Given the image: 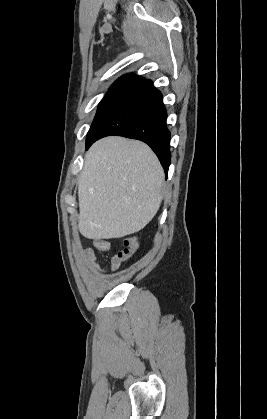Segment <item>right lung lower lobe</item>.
<instances>
[{
  "label": "right lung lower lobe",
  "mask_w": 267,
  "mask_h": 419,
  "mask_svg": "<svg viewBox=\"0 0 267 419\" xmlns=\"http://www.w3.org/2000/svg\"><path fill=\"white\" fill-rule=\"evenodd\" d=\"M166 119L162 94L148 80L128 93L106 114L86 149L98 139L110 135L141 140L155 152L167 174L171 154Z\"/></svg>",
  "instance_id": "1"
}]
</instances>
